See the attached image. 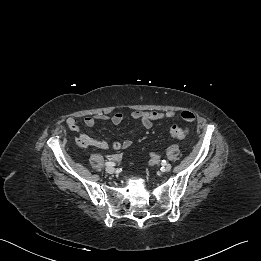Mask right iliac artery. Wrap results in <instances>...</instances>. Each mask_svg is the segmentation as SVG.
<instances>
[{
    "label": "right iliac artery",
    "mask_w": 261,
    "mask_h": 261,
    "mask_svg": "<svg viewBox=\"0 0 261 261\" xmlns=\"http://www.w3.org/2000/svg\"><path fill=\"white\" fill-rule=\"evenodd\" d=\"M105 165L108 167V166H115V163L114 162H106Z\"/></svg>",
    "instance_id": "obj_1"
}]
</instances>
